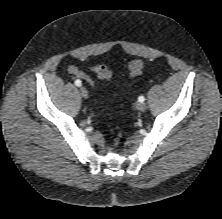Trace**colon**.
Segmentation results:
<instances>
[{
  "instance_id": "colon-1",
  "label": "colon",
  "mask_w": 222,
  "mask_h": 219,
  "mask_svg": "<svg viewBox=\"0 0 222 219\" xmlns=\"http://www.w3.org/2000/svg\"><path fill=\"white\" fill-rule=\"evenodd\" d=\"M144 67V63L140 59H135L129 63L128 66V75L130 78H135L141 74L142 69ZM92 71L97 75L100 79L110 80L113 78L112 71L106 67L105 65H95L92 67Z\"/></svg>"
}]
</instances>
